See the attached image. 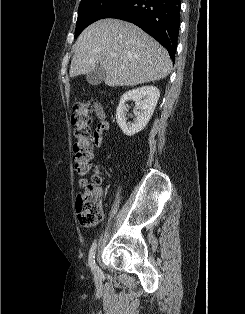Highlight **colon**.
<instances>
[{
  "mask_svg": "<svg viewBox=\"0 0 245 314\" xmlns=\"http://www.w3.org/2000/svg\"><path fill=\"white\" fill-rule=\"evenodd\" d=\"M94 99L80 101L74 106L72 123L75 127L74 163L82 191L76 198V211L80 225L84 228L95 226L101 219L102 191L97 167L92 162L91 112ZM93 171L90 182L87 175Z\"/></svg>",
  "mask_w": 245,
  "mask_h": 314,
  "instance_id": "5ec220e1",
  "label": "colon"
}]
</instances>
